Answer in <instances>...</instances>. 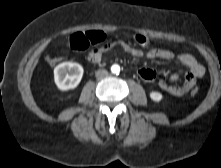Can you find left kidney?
Returning <instances> with one entry per match:
<instances>
[{
  "instance_id": "5707ae66",
  "label": "left kidney",
  "mask_w": 221,
  "mask_h": 168,
  "mask_svg": "<svg viewBox=\"0 0 221 168\" xmlns=\"http://www.w3.org/2000/svg\"><path fill=\"white\" fill-rule=\"evenodd\" d=\"M150 98L155 102H160L163 99V95L159 92H151Z\"/></svg>"
}]
</instances>
